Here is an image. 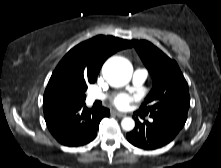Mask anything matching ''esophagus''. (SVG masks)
I'll list each match as a JSON object with an SVG mask.
<instances>
[{
	"mask_svg": "<svg viewBox=\"0 0 221 168\" xmlns=\"http://www.w3.org/2000/svg\"><path fill=\"white\" fill-rule=\"evenodd\" d=\"M112 114L117 116V117H125V114L124 113H121V112H118V111H112Z\"/></svg>",
	"mask_w": 221,
	"mask_h": 168,
	"instance_id": "1",
	"label": "esophagus"
}]
</instances>
